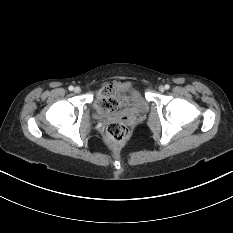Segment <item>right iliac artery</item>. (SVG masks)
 <instances>
[{
  "mask_svg": "<svg viewBox=\"0 0 233 233\" xmlns=\"http://www.w3.org/2000/svg\"><path fill=\"white\" fill-rule=\"evenodd\" d=\"M70 91H73L74 87L73 86H69L68 88Z\"/></svg>",
  "mask_w": 233,
  "mask_h": 233,
  "instance_id": "82829eb1",
  "label": "right iliac artery"
}]
</instances>
